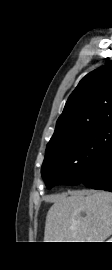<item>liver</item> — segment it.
<instances>
[{
	"instance_id": "liver-1",
	"label": "liver",
	"mask_w": 112,
	"mask_h": 270,
	"mask_svg": "<svg viewBox=\"0 0 112 270\" xmlns=\"http://www.w3.org/2000/svg\"><path fill=\"white\" fill-rule=\"evenodd\" d=\"M44 242H104L112 235V193L71 191L53 198Z\"/></svg>"
}]
</instances>
